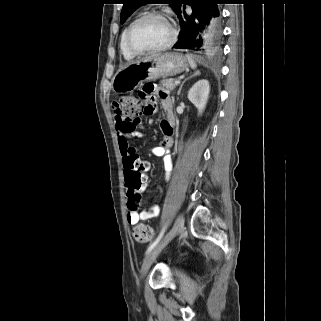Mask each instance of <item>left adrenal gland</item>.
<instances>
[{
  "instance_id": "left-adrenal-gland-1",
  "label": "left adrenal gland",
  "mask_w": 321,
  "mask_h": 321,
  "mask_svg": "<svg viewBox=\"0 0 321 321\" xmlns=\"http://www.w3.org/2000/svg\"><path fill=\"white\" fill-rule=\"evenodd\" d=\"M196 75H200V71L197 70L193 75H191L190 77H187L186 79H184V81L181 83L180 88H179V90H178V95H180V92H181V89H182L184 83H185L188 79H190V78H192V77H194V76H196Z\"/></svg>"
}]
</instances>
